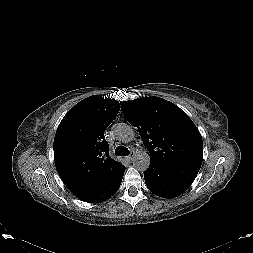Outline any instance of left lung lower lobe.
Returning a JSON list of instances; mask_svg holds the SVG:
<instances>
[{
    "label": "left lung lower lobe",
    "instance_id": "1",
    "mask_svg": "<svg viewBox=\"0 0 253 253\" xmlns=\"http://www.w3.org/2000/svg\"><path fill=\"white\" fill-rule=\"evenodd\" d=\"M201 165L182 160H150L144 173L148 189L157 196L174 198L192 184Z\"/></svg>",
    "mask_w": 253,
    "mask_h": 253
}]
</instances>
